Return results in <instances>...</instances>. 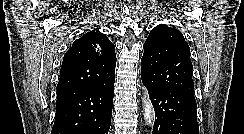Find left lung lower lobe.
Segmentation results:
<instances>
[{"label": "left lung lower lobe", "mask_w": 244, "mask_h": 134, "mask_svg": "<svg viewBox=\"0 0 244 134\" xmlns=\"http://www.w3.org/2000/svg\"><path fill=\"white\" fill-rule=\"evenodd\" d=\"M155 110L152 134H199L194 92L156 86L141 70Z\"/></svg>", "instance_id": "0a47b994"}]
</instances>
